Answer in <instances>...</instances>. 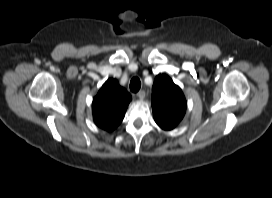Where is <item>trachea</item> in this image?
I'll use <instances>...</instances> for the list:
<instances>
[{
  "mask_svg": "<svg viewBox=\"0 0 272 198\" xmlns=\"http://www.w3.org/2000/svg\"><path fill=\"white\" fill-rule=\"evenodd\" d=\"M141 87V81L138 77L132 78L130 82V90L134 93L138 92Z\"/></svg>",
  "mask_w": 272,
  "mask_h": 198,
  "instance_id": "trachea-1",
  "label": "trachea"
}]
</instances>
